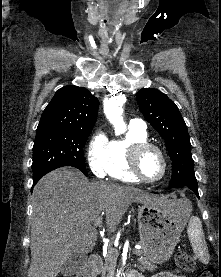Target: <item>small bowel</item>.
I'll return each mask as SVG.
<instances>
[{
	"label": "small bowel",
	"instance_id": "obj_1",
	"mask_svg": "<svg viewBox=\"0 0 221 277\" xmlns=\"http://www.w3.org/2000/svg\"><path fill=\"white\" fill-rule=\"evenodd\" d=\"M138 277H142V276H139ZM153 277H186L184 275H179V274H175V273H171V272H162V273H158L156 274L155 276Z\"/></svg>",
	"mask_w": 221,
	"mask_h": 277
}]
</instances>
